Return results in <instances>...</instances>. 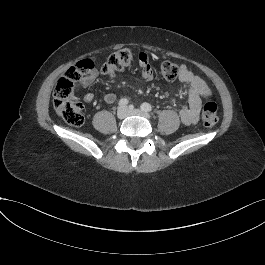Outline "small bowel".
<instances>
[{
	"label": "small bowel",
	"instance_id": "obj_1",
	"mask_svg": "<svg viewBox=\"0 0 265 265\" xmlns=\"http://www.w3.org/2000/svg\"><path fill=\"white\" fill-rule=\"evenodd\" d=\"M139 70L142 78L147 81L153 79V71L148 63L145 55L139 56ZM98 71L96 69L88 72L75 87V91L88 87L97 78ZM179 81L183 84L187 96L188 104L180 110V119L185 125H195L199 121L202 97L211 95V91L207 83L199 76L195 75L186 65L180 66ZM114 93H107L104 96V101L107 104H112L116 101ZM83 100L90 103L94 100V93L87 92Z\"/></svg>",
	"mask_w": 265,
	"mask_h": 265
}]
</instances>
